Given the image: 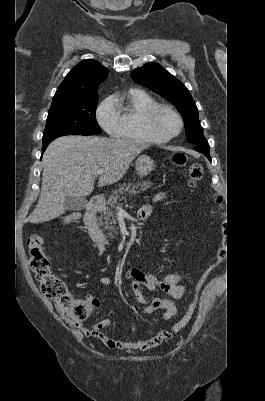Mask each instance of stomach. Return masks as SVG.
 Wrapping results in <instances>:
<instances>
[{
  "instance_id": "stomach-1",
  "label": "stomach",
  "mask_w": 265,
  "mask_h": 401,
  "mask_svg": "<svg viewBox=\"0 0 265 401\" xmlns=\"http://www.w3.org/2000/svg\"><path fill=\"white\" fill-rule=\"evenodd\" d=\"M135 166L138 176H146V174H149L153 170L154 160L151 156H147V154H141V156L136 158Z\"/></svg>"
}]
</instances>
